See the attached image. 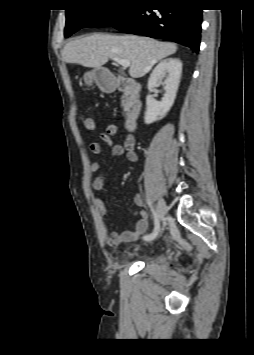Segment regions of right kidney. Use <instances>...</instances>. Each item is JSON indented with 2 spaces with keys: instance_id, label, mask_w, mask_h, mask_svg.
<instances>
[{
  "instance_id": "1",
  "label": "right kidney",
  "mask_w": 254,
  "mask_h": 355,
  "mask_svg": "<svg viewBox=\"0 0 254 355\" xmlns=\"http://www.w3.org/2000/svg\"><path fill=\"white\" fill-rule=\"evenodd\" d=\"M181 72L182 62L178 58L164 59L154 68L148 80V90L153 92L155 87L159 85L161 78L168 73L164 81L166 92L161 101L156 100L151 95H147L144 116L146 124H151L166 116L175 101Z\"/></svg>"
}]
</instances>
